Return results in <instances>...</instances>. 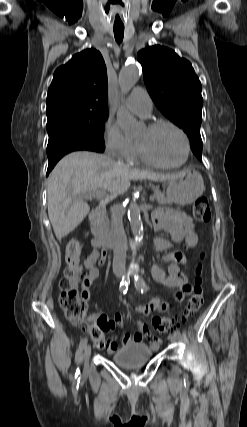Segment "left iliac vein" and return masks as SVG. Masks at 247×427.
<instances>
[{
  "mask_svg": "<svg viewBox=\"0 0 247 427\" xmlns=\"http://www.w3.org/2000/svg\"><path fill=\"white\" fill-rule=\"evenodd\" d=\"M178 338H179V336H177L175 333H174V334L169 335V340H170L171 342H175V341H177V340H178Z\"/></svg>",
  "mask_w": 247,
  "mask_h": 427,
  "instance_id": "4c4485c4",
  "label": "left iliac vein"
}]
</instances>
